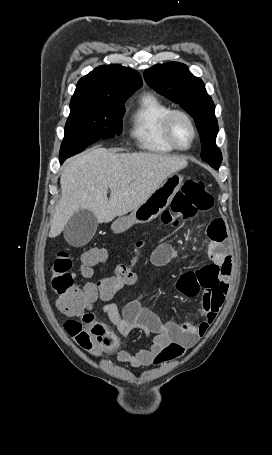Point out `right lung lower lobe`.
I'll list each match as a JSON object with an SVG mask.
<instances>
[{
	"mask_svg": "<svg viewBox=\"0 0 272 455\" xmlns=\"http://www.w3.org/2000/svg\"><path fill=\"white\" fill-rule=\"evenodd\" d=\"M60 163H63V160H60Z\"/></svg>",
	"mask_w": 272,
	"mask_h": 455,
	"instance_id": "right-lung-lower-lobe-1",
	"label": "right lung lower lobe"
}]
</instances>
